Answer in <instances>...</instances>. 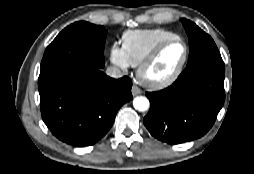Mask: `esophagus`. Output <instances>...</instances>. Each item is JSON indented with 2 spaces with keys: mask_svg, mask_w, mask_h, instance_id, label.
<instances>
[{
  "mask_svg": "<svg viewBox=\"0 0 254 174\" xmlns=\"http://www.w3.org/2000/svg\"><path fill=\"white\" fill-rule=\"evenodd\" d=\"M131 92H132L133 96H137V95L141 94L140 88L138 86H136V85L132 86Z\"/></svg>",
  "mask_w": 254,
  "mask_h": 174,
  "instance_id": "obj_1",
  "label": "esophagus"
}]
</instances>
